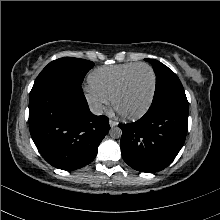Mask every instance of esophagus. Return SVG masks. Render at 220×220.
<instances>
[{"label":"esophagus","mask_w":220,"mask_h":220,"mask_svg":"<svg viewBox=\"0 0 220 220\" xmlns=\"http://www.w3.org/2000/svg\"><path fill=\"white\" fill-rule=\"evenodd\" d=\"M109 125H110L111 127H115V126L118 125V122L115 121V120L110 119V120H109Z\"/></svg>","instance_id":"obj_1"}]
</instances>
